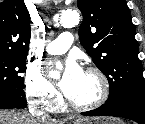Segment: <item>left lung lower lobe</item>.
<instances>
[{"instance_id":"left-lung-lower-lobe-1","label":"left lung lower lobe","mask_w":145,"mask_h":124,"mask_svg":"<svg viewBox=\"0 0 145 124\" xmlns=\"http://www.w3.org/2000/svg\"><path fill=\"white\" fill-rule=\"evenodd\" d=\"M82 114L86 116L123 117L139 124H145V101L135 97H124Z\"/></svg>"}]
</instances>
